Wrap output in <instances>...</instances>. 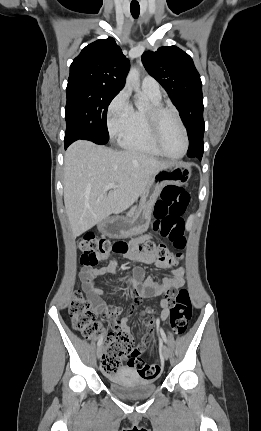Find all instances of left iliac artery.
<instances>
[{"label":"left iliac artery","mask_w":261,"mask_h":431,"mask_svg":"<svg viewBox=\"0 0 261 431\" xmlns=\"http://www.w3.org/2000/svg\"><path fill=\"white\" fill-rule=\"evenodd\" d=\"M157 327H158V330L160 331V334H161L163 341L167 342L166 334H165L164 330L162 328H160L159 321H157Z\"/></svg>","instance_id":"left-iliac-artery-1"}]
</instances>
